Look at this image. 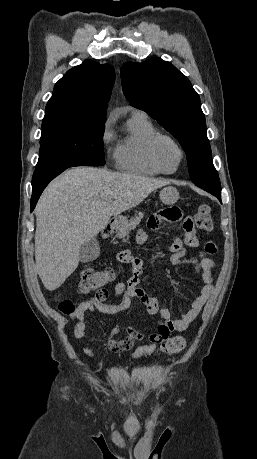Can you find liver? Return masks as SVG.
<instances>
[{"mask_svg":"<svg viewBox=\"0 0 257 459\" xmlns=\"http://www.w3.org/2000/svg\"><path fill=\"white\" fill-rule=\"evenodd\" d=\"M168 180L93 167H77L52 181L37 203L35 260L44 287L53 291L76 270L81 246L110 217L140 204Z\"/></svg>","mask_w":257,"mask_h":459,"instance_id":"1","label":"liver"}]
</instances>
